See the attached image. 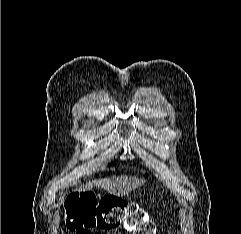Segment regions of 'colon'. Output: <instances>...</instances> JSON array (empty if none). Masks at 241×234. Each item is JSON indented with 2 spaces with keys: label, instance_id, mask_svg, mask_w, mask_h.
Instances as JSON below:
<instances>
[{
  "label": "colon",
  "instance_id": "5ec220e1",
  "mask_svg": "<svg viewBox=\"0 0 241 234\" xmlns=\"http://www.w3.org/2000/svg\"><path fill=\"white\" fill-rule=\"evenodd\" d=\"M65 219L69 229H113L123 226L131 234H154L155 226L139 206L111 196L96 198L89 193L70 195L65 203ZM76 232V233H77Z\"/></svg>",
  "mask_w": 241,
  "mask_h": 234
}]
</instances>
